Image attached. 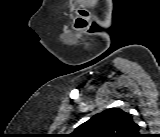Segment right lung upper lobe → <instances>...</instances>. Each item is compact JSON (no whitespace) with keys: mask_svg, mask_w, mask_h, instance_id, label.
I'll return each mask as SVG.
<instances>
[{"mask_svg":"<svg viewBox=\"0 0 160 137\" xmlns=\"http://www.w3.org/2000/svg\"><path fill=\"white\" fill-rule=\"evenodd\" d=\"M76 137H137L139 126L120 108H110L91 117L72 133Z\"/></svg>","mask_w":160,"mask_h":137,"instance_id":"1","label":"right lung upper lobe"}]
</instances>
